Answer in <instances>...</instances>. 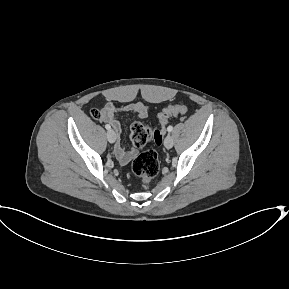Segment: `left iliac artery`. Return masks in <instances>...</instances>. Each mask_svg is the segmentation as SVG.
Listing matches in <instances>:
<instances>
[{
	"mask_svg": "<svg viewBox=\"0 0 289 289\" xmlns=\"http://www.w3.org/2000/svg\"><path fill=\"white\" fill-rule=\"evenodd\" d=\"M172 130H173V127L172 126H168L167 131L171 132Z\"/></svg>",
	"mask_w": 289,
	"mask_h": 289,
	"instance_id": "1",
	"label": "left iliac artery"
}]
</instances>
